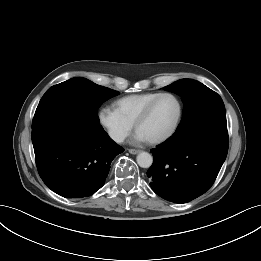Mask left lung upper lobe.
<instances>
[{
  "instance_id": "1",
  "label": "left lung upper lobe",
  "mask_w": 261,
  "mask_h": 261,
  "mask_svg": "<svg viewBox=\"0 0 261 261\" xmlns=\"http://www.w3.org/2000/svg\"><path fill=\"white\" fill-rule=\"evenodd\" d=\"M163 89L181 96L184 103L183 117L175 133L193 130L217 119H226L221 97L196 80L181 79Z\"/></svg>"
}]
</instances>
